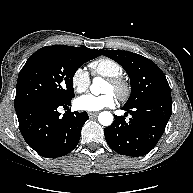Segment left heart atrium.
I'll return each mask as SVG.
<instances>
[{"instance_id": "1", "label": "left heart atrium", "mask_w": 193, "mask_h": 193, "mask_svg": "<svg viewBox=\"0 0 193 193\" xmlns=\"http://www.w3.org/2000/svg\"><path fill=\"white\" fill-rule=\"evenodd\" d=\"M116 98L112 93L103 95L85 94L75 100V107L80 111L95 112L104 108L113 107Z\"/></svg>"}]
</instances>
